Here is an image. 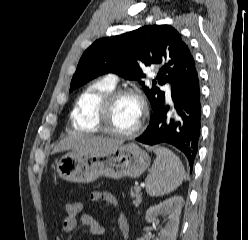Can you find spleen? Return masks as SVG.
<instances>
[{
    "label": "spleen",
    "mask_w": 248,
    "mask_h": 240,
    "mask_svg": "<svg viewBox=\"0 0 248 240\" xmlns=\"http://www.w3.org/2000/svg\"><path fill=\"white\" fill-rule=\"evenodd\" d=\"M156 159L147 176L146 192L152 197L168 194L179 187L185 176L180 159L165 147H154Z\"/></svg>",
    "instance_id": "spleen-1"
}]
</instances>
